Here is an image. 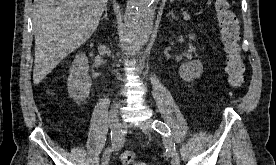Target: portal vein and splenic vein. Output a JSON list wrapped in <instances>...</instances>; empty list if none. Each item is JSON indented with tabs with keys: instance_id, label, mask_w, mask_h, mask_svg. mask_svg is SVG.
Segmentation results:
<instances>
[{
	"instance_id": "portal-vein-and-splenic-vein-1",
	"label": "portal vein and splenic vein",
	"mask_w": 276,
	"mask_h": 165,
	"mask_svg": "<svg viewBox=\"0 0 276 165\" xmlns=\"http://www.w3.org/2000/svg\"><path fill=\"white\" fill-rule=\"evenodd\" d=\"M183 15H184V19L185 20H189L190 19V15L189 14H187V13H183Z\"/></svg>"
}]
</instances>
